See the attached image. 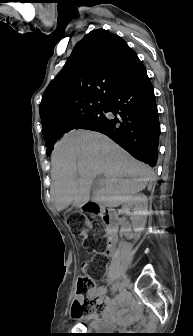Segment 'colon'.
<instances>
[{
	"label": "colon",
	"mask_w": 193,
	"mask_h": 336,
	"mask_svg": "<svg viewBox=\"0 0 193 336\" xmlns=\"http://www.w3.org/2000/svg\"><path fill=\"white\" fill-rule=\"evenodd\" d=\"M69 228L74 232L78 241L84 243L88 249L100 252L103 250V228L96 220L87 221L80 213L72 214L67 221ZM88 231L91 233L88 236ZM83 274L78 278L76 297L72 304L71 316L74 319L88 317L101 313L103 304L96 296H88L94 288V278L87 273L89 262L82 264Z\"/></svg>",
	"instance_id": "obj_1"
}]
</instances>
